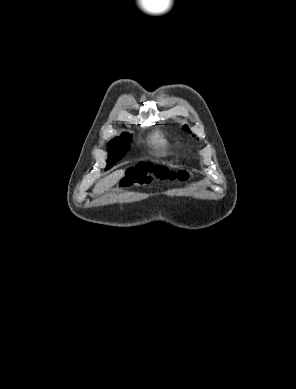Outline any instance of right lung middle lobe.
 Here are the masks:
<instances>
[{
	"mask_svg": "<svg viewBox=\"0 0 296 389\" xmlns=\"http://www.w3.org/2000/svg\"><path fill=\"white\" fill-rule=\"evenodd\" d=\"M131 135L124 133L119 138H115L108 144L109 158L107 160L106 170L110 169L118 160H120L130 149Z\"/></svg>",
	"mask_w": 296,
	"mask_h": 389,
	"instance_id": "1",
	"label": "right lung middle lobe"
}]
</instances>
